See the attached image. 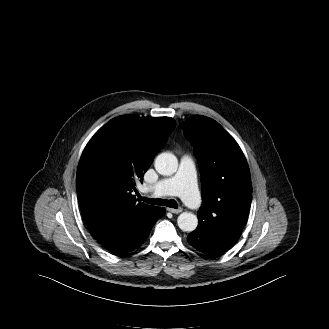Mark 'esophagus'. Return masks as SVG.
Listing matches in <instances>:
<instances>
[{
  "label": "esophagus",
  "mask_w": 329,
  "mask_h": 329,
  "mask_svg": "<svg viewBox=\"0 0 329 329\" xmlns=\"http://www.w3.org/2000/svg\"><path fill=\"white\" fill-rule=\"evenodd\" d=\"M167 210L169 212H171V213H174V214H179V213H181L183 211V209L181 207L180 208H177V209H175V208H167Z\"/></svg>",
  "instance_id": "obj_1"
}]
</instances>
